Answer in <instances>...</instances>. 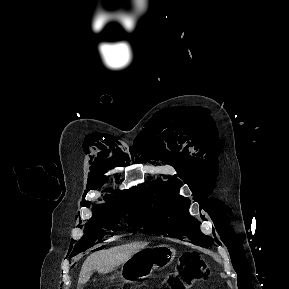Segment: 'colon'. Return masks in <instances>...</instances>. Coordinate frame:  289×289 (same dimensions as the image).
Returning a JSON list of instances; mask_svg holds the SVG:
<instances>
[{
	"label": "colon",
	"instance_id": "5ec220e1",
	"mask_svg": "<svg viewBox=\"0 0 289 289\" xmlns=\"http://www.w3.org/2000/svg\"><path fill=\"white\" fill-rule=\"evenodd\" d=\"M208 274L209 269L202 262L200 255L196 252H188L184 255L178 270L169 280L168 289H189L196 283L205 280Z\"/></svg>",
	"mask_w": 289,
	"mask_h": 289
}]
</instances>
